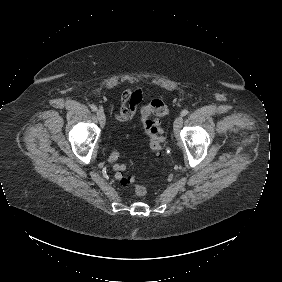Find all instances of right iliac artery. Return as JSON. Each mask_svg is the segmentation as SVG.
<instances>
[{
  "instance_id": "right-iliac-artery-1",
  "label": "right iliac artery",
  "mask_w": 282,
  "mask_h": 282,
  "mask_svg": "<svg viewBox=\"0 0 282 282\" xmlns=\"http://www.w3.org/2000/svg\"><path fill=\"white\" fill-rule=\"evenodd\" d=\"M91 109H92V111H97V107L93 104L91 105Z\"/></svg>"
}]
</instances>
